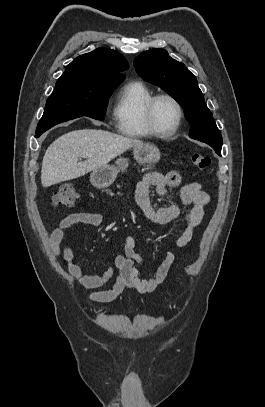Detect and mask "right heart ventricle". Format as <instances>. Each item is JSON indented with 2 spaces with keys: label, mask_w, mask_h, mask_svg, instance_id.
<instances>
[{
  "label": "right heart ventricle",
  "mask_w": 265,
  "mask_h": 407,
  "mask_svg": "<svg viewBox=\"0 0 265 407\" xmlns=\"http://www.w3.org/2000/svg\"><path fill=\"white\" fill-rule=\"evenodd\" d=\"M153 96L151 89L140 81H132L122 87L113 109L116 128L121 134L132 138L153 135L144 118L145 106Z\"/></svg>",
  "instance_id": "right-heart-ventricle-1"
}]
</instances>
